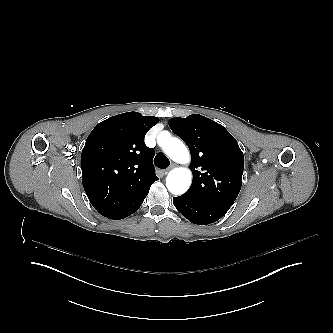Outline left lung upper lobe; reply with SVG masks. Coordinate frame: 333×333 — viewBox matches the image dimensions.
Segmentation results:
<instances>
[{"label": "left lung upper lobe", "instance_id": "1", "mask_svg": "<svg viewBox=\"0 0 333 333\" xmlns=\"http://www.w3.org/2000/svg\"><path fill=\"white\" fill-rule=\"evenodd\" d=\"M172 131L188 145L193 181L182 196L230 208L242 185L244 156L236 139L215 121L193 114L169 120Z\"/></svg>", "mask_w": 333, "mask_h": 333}]
</instances>
